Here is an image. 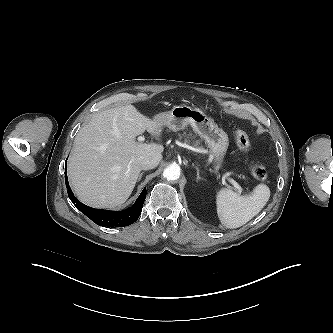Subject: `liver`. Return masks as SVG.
Segmentation results:
<instances>
[{
  "instance_id": "1",
  "label": "liver",
  "mask_w": 333,
  "mask_h": 333,
  "mask_svg": "<svg viewBox=\"0 0 333 333\" xmlns=\"http://www.w3.org/2000/svg\"><path fill=\"white\" fill-rule=\"evenodd\" d=\"M163 124L127 104L92 115L75 137L68 177L78 199L96 208H116L131 195L146 156L164 147L139 143L146 129L159 140Z\"/></svg>"
}]
</instances>
